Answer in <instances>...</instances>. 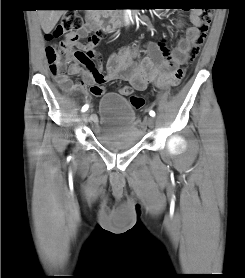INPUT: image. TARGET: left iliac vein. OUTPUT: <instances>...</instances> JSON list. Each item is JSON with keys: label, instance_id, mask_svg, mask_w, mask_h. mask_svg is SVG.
<instances>
[{"label": "left iliac vein", "instance_id": "obj_1", "mask_svg": "<svg viewBox=\"0 0 245 278\" xmlns=\"http://www.w3.org/2000/svg\"><path fill=\"white\" fill-rule=\"evenodd\" d=\"M146 124L148 125V127L153 128L155 124V119L153 117H148L146 119Z\"/></svg>", "mask_w": 245, "mask_h": 278}]
</instances>
